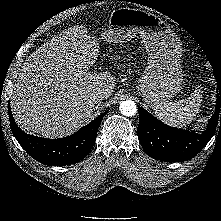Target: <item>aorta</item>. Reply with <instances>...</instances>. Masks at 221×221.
<instances>
[{
    "instance_id": "obj_1",
    "label": "aorta",
    "mask_w": 221,
    "mask_h": 221,
    "mask_svg": "<svg viewBox=\"0 0 221 221\" xmlns=\"http://www.w3.org/2000/svg\"><path fill=\"white\" fill-rule=\"evenodd\" d=\"M119 110L122 115L131 117L137 112V106L134 101L126 100L121 102Z\"/></svg>"
}]
</instances>
